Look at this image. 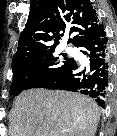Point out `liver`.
I'll use <instances>...</instances> for the list:
<instances>
[{
	"instance_id": "obj_1",
	"label": "liver",
	"mask_w": 117,
	"mask_h": 136,
	"mask_svg": "<svg viewBox=\"0 0 117 136\" xmlns=\"http://www.w3.org/2000/svg\"><path fill=\"white\" fill-rule=\"evenodd\" d=\"M100 108L88 96L30 89L14 101L10 136H95Z\"/></svg>"
}]
</instances>
